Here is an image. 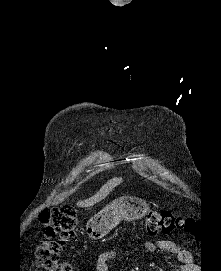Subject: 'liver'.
Listing matches in <instances>:
<instances>
[{
  "label": "liver",
  "instance_id": "1",
  "mask_svg": "<svg viewBox=\"0 0 221 271\" xmlns=\"http://www.w3.org/2000/svg\"><path fill=\"white\" fill-rule=\"evenodd\" d=\"M113 183L111 181H107L105 185H102L101 189L95 193V195H92V197H89V199H85V201H78L77 205L79 207H88V205H94V203H97V201H101V199H104L110 191H112Z\"/></svg>",
  "mask_w": 221,
  "mask_h": 271
}]
</instances>
